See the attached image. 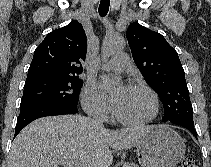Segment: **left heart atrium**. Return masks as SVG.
Returning <instances> with one entry per match:
<instances>
[{
  "label": "left heart atrium",
  "instance_id": "obj_1",
  "mask_svg": "<svg viewBox=\"0 0 211 167\" xmlns=\"http://www.w3.org/2000/svg\"><path fill=\"white\" fill-rule=\"evenodd\" d=\"M98 89L99 91L105 95L109 101L110 107L117 112L127 94V91L129 89L128 86H121L115 91L109 90V81L108 79H102L98 83Z\"/></svg>",
  "mask_w": 211,
  "mask_h": 167
}]
</instances>
